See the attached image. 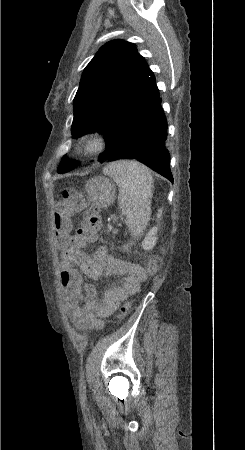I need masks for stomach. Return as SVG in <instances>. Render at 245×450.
Here are the masks:
<instances>
[{
	"label": "stomach",
	"instance_id": "stomach-1",
	"mask_svg": "<svg viewBox=\"0 0 245 450\" xmlns=\"http://www.w3.org/2000/svg\"><path fill=\"white\" fill-rule=\"evenodd\" d=\"M85 190L89 200L99 209L110 206L116 196L115 184L103 176L90 179L85 185Z\"/></svg>",
	"mask_w": 245,
	"mask_h": 450
}]
</instances>
